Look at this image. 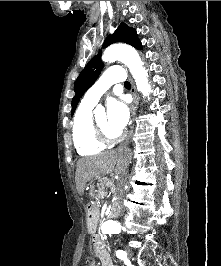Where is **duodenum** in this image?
<instances>
[{
  "label": "duodenum",
  "instance_id": "obj_1",
  "mask_svg": "<svg viewBox=\"0 0 221 266\" xmlns=\"http://www.w3.org/2000/svg\"><path fill=\"white\" fill-rule=\"evenodd\" d=\"M119 214H120V207H119V205L118 204H113L112 207H111V210H110V215L117 216ZM93 226H94V220L93 219H90L88 221V227L90 229H92Z\"/></svg>",
  "mask_w": 221,
  "mask_h": 266
}]
</instances>
